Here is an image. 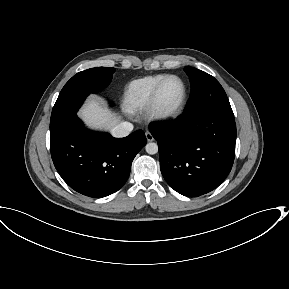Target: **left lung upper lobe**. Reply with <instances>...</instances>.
Instances as JSON below:
<instances>
[{
	"instance_id": "left-lung-upper-lobe-1",
	"label": "left lung upper lobe",
	"mask_w": 289,
	"mask_h": 289,
	"mask_svg": "<svg viewBox=\"0 0 289 289\" xmlns=\"http://www.w3.org/2000/svg\"><path fill=\"white\" fill-rule=\"evenodd\" d=\"M184 70L192 87L184 113L206 108L233 112L224 89L213 76L193 67H185Z\"/></svg>"
}]
</instances>
